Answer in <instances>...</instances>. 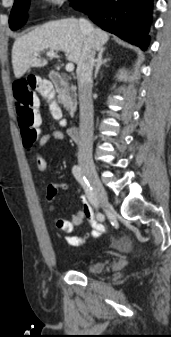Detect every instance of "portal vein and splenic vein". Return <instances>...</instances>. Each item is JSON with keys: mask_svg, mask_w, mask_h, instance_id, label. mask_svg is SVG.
<instances>
[{"mask_svg": "<svg viewBox=\"0 0 171 337\" xmlns=\"http://www.w3.org/2000/svg\"><path fill=\"white\" fill-rule=\"evenodd\" d=\"M35 55H37V53H35ZM46 55L48 57H51V58H59V56L57 55V53H55L54 51H48L46 53ZM74 70V64L73 63H68L66 65V71L67 72H72Z\"/></svg>", "mask_w": 171, "mask_h": 337, "instance_id": "18ae733b", "label": "portal vein and splenic vein"}]
</instances>
